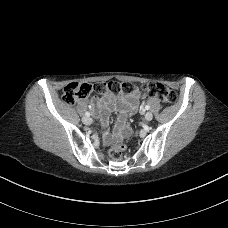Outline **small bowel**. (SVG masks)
<instances>
[{
	"label": "small bowel",
	"instance_id": "obj_1",
	"mask_svg": "<svg viewBox=\"0 0 228 228\" xmlns=\"http://www.w3.org/2000/svg\"><path fill=\"white\" fill-rule=\"evenodd\" d=\"M91 103L99 112L104 128L108 127L109 115L112 111H118L120 113L115 131L113 133H105V140L107 142L119 140L130 134V127L126 123V117L138 107L139 95L137 93L127 99L112 94H105L101 98L91 99Z\"/></svg>",
	"mask_w": 228,
	"mask_h": 228
}]
</instances>
